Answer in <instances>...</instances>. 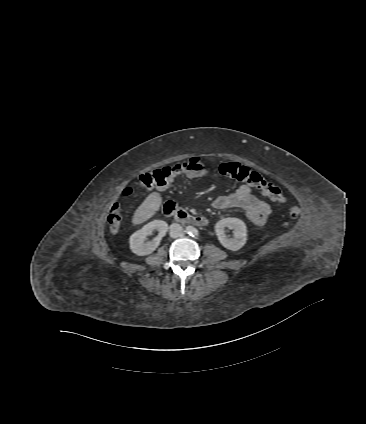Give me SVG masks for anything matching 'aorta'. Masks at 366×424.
<instances>
[{
	"instance_id": "aorta-1",
	"label": "aorta",
	"mask_w": 366,
	"mask_h": 424,
	"mask_svg": "<svg viewBox=\"0 0 366 424\" xmlns=\"http://www.w3.org/2000/svg\"><path fill=\"white\" fill-rule=\"evenodd\" d=\"M190 229H189V233L191 234V235H196L197 234V230L195 229V228H193V227H189Z\"/></svg>"
}]
</instances>
